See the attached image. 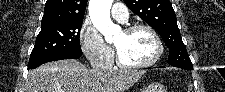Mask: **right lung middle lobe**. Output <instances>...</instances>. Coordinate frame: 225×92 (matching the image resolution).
Wrapping results in <instances>:
<instances>
[{
  "label": "right lung middle lobe",
  "mask_w": 225,
  "mask_h": 92,
  "mask_svg": "<svg viewBox=\"0 0 225 92\" xmlns=\"http://www.w3.org/2000/svg\"><path fill=\"white\" fill-rule=\"evenodd\" d=\"M82 23L42 24L29 60L65 51H81L79 35Z\"/></svg>",
  "instance_id": "right-lung-middle-lobe-1"
}]
</instances>
